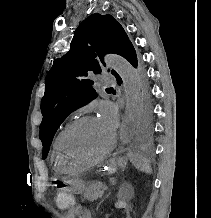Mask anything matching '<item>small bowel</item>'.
Wrapping results in <instances>:
<instances>
[{
  "instance_id": "1",
  "label": "small bowel",
  "mask_w": 211,
  "mask_h": 218,
  "mask_svg": "<svg viewBox=\"0 0 211 218\" xmlns=\"http://www.w3.org/2000/svg\"><path fill=\"white\" fill-rule=\"evenodd\" d=\"M71 213L77 215L78 218H91L90 212L81 206L74 207Z\"/></svg>"
}]
</instances>
